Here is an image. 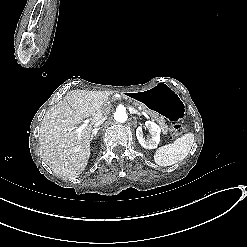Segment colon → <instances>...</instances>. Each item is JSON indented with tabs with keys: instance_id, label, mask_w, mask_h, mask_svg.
I'll return each mask as SVG.
<instances>
[{
	"instance_id": "1",
	"label": "colon",
	"mask_w": 247,
	"mask_h": 247,
	"mask_svg": "<svg viewBox=\"0 0 247 247\" xmlns=\"http://www.w3.org/2000/svg\"><path fill=\"white\" fill-rule=\"evenodd\" d=\"M183 131H184L183 125L180 123H176L172 126L170 130V134L173 138H177L183 133Z\"/></svg>"
}]
</instances>
